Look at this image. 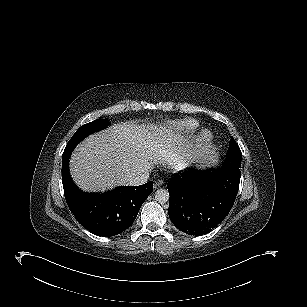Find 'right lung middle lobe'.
I'll use <instances>...</instances> for the list:
<instances>
[{
	"label": "right lung middle lobe",
	"mask_w": 307,
	"mask_h": 307,
	"mask_svg": "<svg viewBox=\"0 0 307 307\" xmlns=\"http://www.w3.org/2000/svg\"><path fill=\"white\" fill-rule=\"evenodd\" d=\"M110 123L106 119H97L93 122L81 126L68 142L65 149H74L76 145L88 135L105 129Z\"/></svg>",
	"instance_id": "obj_1"
}]
</instances>
